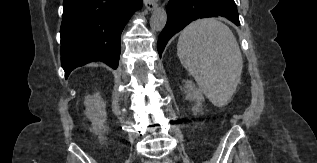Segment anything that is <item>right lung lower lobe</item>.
I'll return each instance as SVG.
<instances>
[{"instance_id":"right-lung-lower-lobe-1","label":"right lung lower lobe","mask_w":317,"mask_h":163,"mask_svg":"<svg viewBox=\"0 0 317 163\" xmlns=\"http://www.w3.org/2000/svg\"><path fill=\"white\" fill-rule=\"evenodd\" d=\"M142 0H64L61 24V65L72 70L93 61L116 69L121 33Z\"/></svg>"}]
</instances>
